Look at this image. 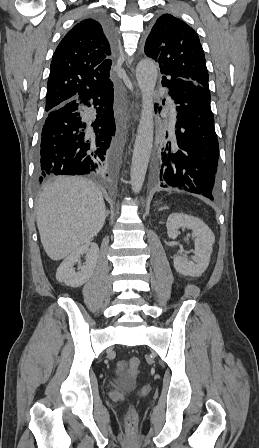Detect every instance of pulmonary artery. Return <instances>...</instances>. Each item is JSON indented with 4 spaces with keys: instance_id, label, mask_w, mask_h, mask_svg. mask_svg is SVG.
I'll list each match as a JSON object with an SVG mask.
<instances>
[{
    "instance_id": "1",
    "label": "pulmonary artery",
    "mask_w": 259,
    "mask_h": 448,
    "mask_svg": "<svg viewBox=\"0 0 259 448\" xmlns=\"http://www.w3.org/2000/svg\"><path fill=\"white\" fill-rule=\"evenodd\" d=\"M167 101H168V105H167L168 110L169 111H174L175 110V105H174L173 99L170 96H168L167 97Z\"/></svg>"
}]
</instances>
